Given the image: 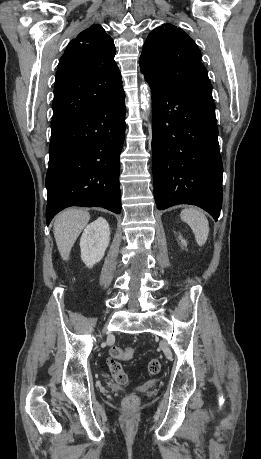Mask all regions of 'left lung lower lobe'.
I'll list each match as a JSON object with an SVG mask.
<instances>
[{
  "label": "left lung lower lobe",
  "mask_w": 261,
  "mask_h": 459,
  "mask_svg": "<svg viewBox=\"0 0 261 459\" xmlns=\"http://www.w3.org/2000/svg\"><path fill=\"white\" fill-rule=\"evenodd\" d=\"M152 91V159L157 208L192 204L217 220L222 159L212 94L178 90L145 77Z\"/></svg>",
  "instance_id": "1"
}]
</instances>
